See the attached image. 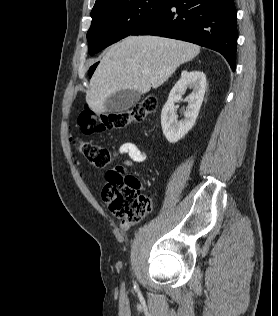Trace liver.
<instances>
[{"label":"liver","mask_w":278,"mask_h":316,"mask_svg":"<svg viewBox=\"0 0 278 316\" xmlns=\"http://www.w3.org/2000/svg\"><path fill=\"white\" fill-rule=\"evenodd\" d=\"M199 53L198 45L185 41L151 35L128 36L101 59L90 80L86 102L96 113L107 112L105 101L111 94L127 89L147 93L161 86L181 64Z\"/></svg>","instance_id":"liver-1"}]
</instances>
